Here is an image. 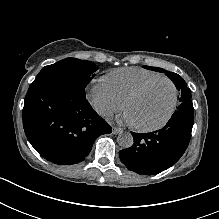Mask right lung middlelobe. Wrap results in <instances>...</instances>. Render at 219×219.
<instances>
[{"instance_id":"right-lung-middle-lobe-1","label":"right lung middle lobe","mask_w":219,"mask_h":219,"mask_svg":"<svg viewBox=\"0 0 219 219\" xmlns=\"http://www.w3.org/2000/svg\"><path fill=\"white\" fill-rule=\"evenodd\" d=\"M97 70L98 67L90 61L66 58L45 66L31 85L53 83L74 88L85 94V88Z\"/></svg>"}]
</instances>
